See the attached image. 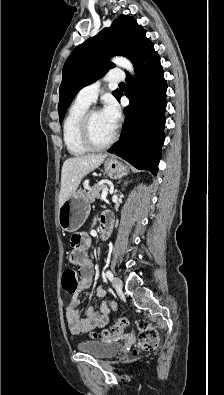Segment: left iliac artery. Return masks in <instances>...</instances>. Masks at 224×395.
Here are the masks:
<instances>
[{
  "label": "left iliac artery",
  "instance_id": "obj_1",
  "mask_svg": "<svg viewBox=\"0 0 224 395\" xmlns=\"http://www.w3.org/2000/svg\"><path fill=\"white\" fill-rule=\"evenodd\" d=\"M105 275H106V277H107L109 280H112V279H113V274H112V272H111L110 270H107Z\"/></svg>",
  "mask_w": 224,
  "mask_h": 395
}]
</instances>
